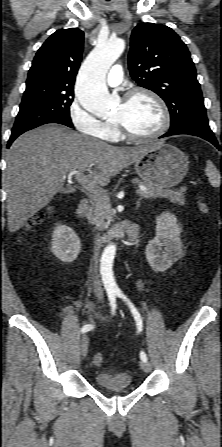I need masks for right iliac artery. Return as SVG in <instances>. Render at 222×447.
<instances>
[{
	"label": "right iliac artery",
	"mask_w": 222,
	"mask_h": 447,
	"mask_svg": "<svg viewBox=\"0 0 222 447\" xmlns=\"http://www.w3.org/2000/svg\"><path fill=\"white\" fill-rule=\"evenodd\" d=\"M108 297H109V301H110V304H111V307H112V313H114L115 312V308H116V304H115V302H116V299H115L116 294L113 293V292H109L108 293ZM93 328H94V325L86 324V325H84L81 328V332L85 333V332H88V331L92 330Z\"/></svg>",
	"instance_id": "82829eb1"
}]
</instances>
